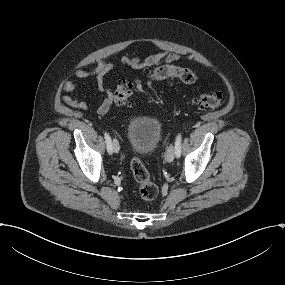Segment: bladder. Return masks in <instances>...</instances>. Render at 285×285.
I'll list each match as a JSON object with an SVG mask.
<instances>
[{
    "label": "bladder",
    "mask_w": 285,
    "mask_h": 285,
    "mask_svg": "<svg viewBox=\"0 0 285 285\" xmlns=\"http://www.w3.org/2000/svg\"><path fill=\"white\" fill-rule=\"evenodd\" d=\"M125 124L130 151L140 156H150L161 139L159 119L153 116H133Z\"/></svg>",
    "instance_id": "bladder-1"
}]
</instances>
